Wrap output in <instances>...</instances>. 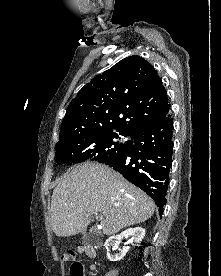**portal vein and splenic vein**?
I'll use <instances>...</instances> for the list:
<instances>
[{"mask_svg":"<svg viewBox=\"0 0 221 276\" xmlns=\"http://www.w3.org/2000/svg\"><path fill=\"white\" fill-rule=\"evenodd\" d=\"M97 220H102L103 216L102 215H95Z\"/></svg>","mask_w":221,"mask_h":276,"instance_id":"portal-vein-and-splenic-vein-1","label":"portal vein and splenic vein"}]
</instances>
